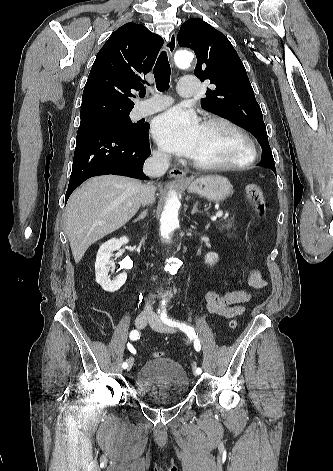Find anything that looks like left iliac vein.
Here are the masks:
<instances>
[{"mask_svg": "<svg viewBox=\"0 0 333 471\" xmlns=\"http://www.w3.org/2000/svg\"><path fill=\"white\" fill-rule=\"evenodd\" d=\"M149 324H150V326H151L154 330H156V331H158V332H162V333H172V332H173V330H172L170 327H168L167 325H165V324L160 320V318H159L158 316H156V315H153V316L150 318ZM194 375H198V374L196 373V371H194Z\"/></svg>", "mask_w": 333, "mask_h": 471, "instance_id": "left-iliac-vein-1", "label": "left iliac vein"}]
</instances>
